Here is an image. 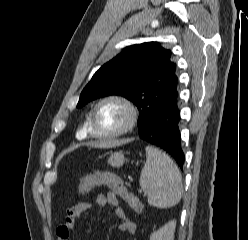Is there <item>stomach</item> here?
Here are the masks:
<instances>
[{
  "label": "stomach",
  "mask_w": 248,
  "mask_h": 240,
  "mask_svg": "<svg viewBox=\"0 0 248 240\" xmlns=\"http://www.w3.org/2000/svg\"><path fill=\"white\" fill-rule=\"evenodd\" d=\"M125 162L124 154L122 152L112 153L108 159V164L112 167H121Z\"/></svg>",
  "instance_id": "obj_1"
}]
</instances>
